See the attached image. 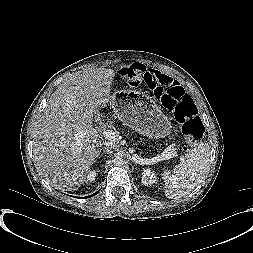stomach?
Returning <instances> with one entry per match:
<instances>
[{"mask_svg":"<svg viewBox=\"0 0 253 253\" xmlns=\"http://www.w3.org/2000/svg\"><path fill=\"white\" fill-rule=\"evenodd\" d=\"M115 116L123 124L149 138H164L171 132V122L146 95L132 91H117L111 96Z\"/></svg>","mask_w":253,"mask_h":253,"instance_id":"obj_1","label":"stomach"}]
</instances>
